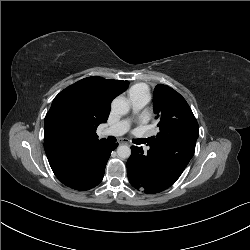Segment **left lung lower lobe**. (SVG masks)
Segmentation results:
<instances>
[{"label": "left lung lower lobe", "instance_id": "left-lung-lower-lobe-1", "mask_svg": "<svg viewBox=\"0 0 250 250\" xmlns=\"http://www.w3.org/2000/svg\"><path fill=\"white\" fill-rule=\"evenodd\" d=\"M186 144L180 148V145ZM196 141L185 138L154 144L149 149L132 146L127 161V174L131 185L145 193H158L170 187L182 174L194 155Z\"/></svg>", "mask_w": 250, "mask_h": 250}]
</instances>
